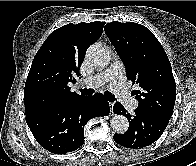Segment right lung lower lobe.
I'll list each match as a JSON object with an SVG mask.
<instances>
[{"mask_svg": "<svg viewBox=\"0 0 196 166\" xmlns=\"http://www.w3.org/2000/svg\"><path fill=\"white\" fill-rule=\"evenodd\" d=\"M109 115V104L101 94L80 96L50 110L26 116L37 142L49 152L65 154L84 142V126L94 117Z\"/></svg>", "mask_w": 196, "mask_h": 166, "instance_id": "98d812e1", "label": "right lung lower lobe"}]
</instances>
